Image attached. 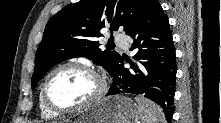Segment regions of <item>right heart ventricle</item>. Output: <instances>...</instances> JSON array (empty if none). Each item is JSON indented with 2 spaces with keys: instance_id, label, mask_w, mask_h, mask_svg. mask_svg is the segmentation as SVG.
<instances>
[{
  "instance_id": "e07e8e85",
  "label": "right heart ventricle",
  "mask_w": 221,
  "mask_h": 123,
  "mask_svg": "<svg viewBox=\"0 0 221 123\" xmlns=\"http://www.w3.org/2000/svg\"><path fill=\"white\" fill-rule=\"evenodd\" d=\"M39 110H40L41 116L45 119H52L58 116V113H55L46 107V105L44 104L42 100L41 92L39 94Z\"/></svg>"
}]
</instances>
